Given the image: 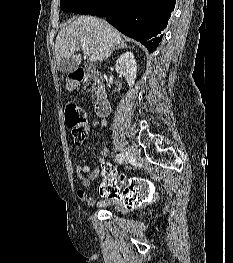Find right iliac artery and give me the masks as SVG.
Here are the masks:
<instances>
[{
  "instance_id": "82829eb1",
  "label": "right iliac artery",
  "mask_w": 233,
  "mask_h": 263,
  "mask_svg": "<svg viewBox=\"0 0 233 263\" xmlns=\"http://www.w3.org/2000/svg\"><path fill=\"white\" fill-rule=\"evenodd\" d=\"M128 156V154L125 152V153H120V154H117L116 156V159L118 161V163L122 164L123 161H124V158Z\"/></svg>"
}]
</instances>
